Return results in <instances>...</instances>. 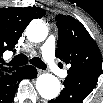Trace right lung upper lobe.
Returning <instances> with one entry per match:
<instances>
[{
    "mask_svg": "<svg viewBox=\"0 0 103 103\" xmlns=\"http://www.w3.org/2000/svg\"><path fill=\"white\" fill-rule=\"evenodd\" d=\"M44 14L45 10L38 7L0 8V57L5 50L13 49L31 20L41 18ZM15 71L0 64V77Z\"/></svg>",
    "mask_w": 103,
    "mask_h": 103,
    "instance_id": "obj_1",
    "label": "right lung upper lobe"
}]
</instances>
